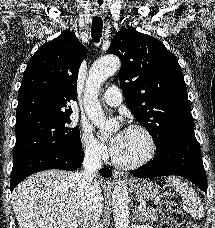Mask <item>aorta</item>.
<instances>
[{
  "label": "aorta",
  "mask_w": 215,
  "mask_h": 228,
  "mask_svg": "<svg viewBox=\"0 0 215 228\" xmlns=\"http://www.w3.org/2000/svg\"><path fill=\"white\" fill-rule=\"evenodd\" d=\"M121 62L115 56L109 58H101L90 68V76L85 92V112L92 120L93 124L100 128L102 134L108 132V126L105 124L102 108L97 100L98 88L101 84L113 76L119 70ZM113 202V218L115 228H130L129 226V194L126 190L124 182H116V186L112 194Z\"/></svg>",
  "instance_id": "aorta-1"
}]
</instances>
